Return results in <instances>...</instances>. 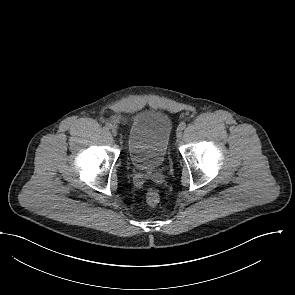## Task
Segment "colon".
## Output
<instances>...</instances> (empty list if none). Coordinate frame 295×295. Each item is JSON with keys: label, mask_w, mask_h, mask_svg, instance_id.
Wrapping results in <instances>:
<instances>
[{"label": "colon", "mask_w": 295, "mask_h": 295, "mask_svg": "<svg viewBox=\"0 0 295 295\" xmlns=\"http://www.w3.org/2000/svg\"><path fill=\"white\" fill-rule=\"evenodd\" d=\"M159 200H160V196L156 190L150 189L146 193V201L149 205L151 206L157 205L159 203Z\"/></svg>", "instance_id": "5ec220e1"}]
</instances>
